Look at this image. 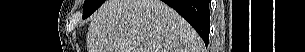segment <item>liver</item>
Wrapping results in <instances>:
<instances>
[{"instance_id": "1", "label": "liver", "mask_w": 305, "mask_h": 52, "mask_svg": "<svg viewBox=\"0 0 305 52\" xmlns=\"http://www.w3.org/2000/svg\"><path fill=\"white\" fill-rule=\"evenodd\" d=\"M88 52H203L196 31L160 0H107L92 16Z\"/></svg>"}]
</instances>
